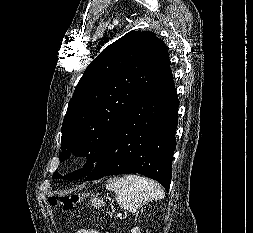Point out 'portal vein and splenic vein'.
<instances>
[{"label": "portal vein and splenic vein", "instance_id": "1", "mask_svg": "<svg viewBox=\"0 0 253 233\" xmlns=\"http://www.w3.org/2000/svg\"><path fill=\"white\" fill-rule=\"evenodd\" d=\"M121 216H122V214H119V215H118V217H121Z\"/></svg>", "mask_w": 253, "mask_h": 233}]
</instances>
